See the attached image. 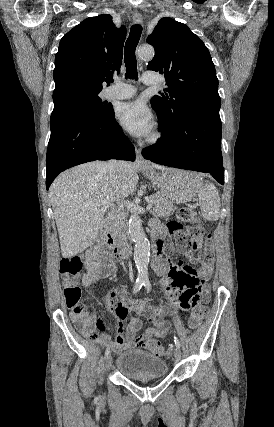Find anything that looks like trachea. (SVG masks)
I'll list each match as a JSON object with an SVG mask.
<instances>
[{
	"label": "trachea",
	"instance_id": "obj_1",
	"mask_svg": "<svg viewBox=\"0 0 274 427\" xmlns=\"http://www.w3.org/2000/svg\"><path fill=\"white\" fill-rule=\"evenodd\" d=\"M142 33L141 25H133L131 27L129 37L124 47V61L126 66L125 78L137 79V60L135 56V50L139 43V39Z\"/></svg>",
	"mask_w": 274,
	"mask_h": 427
}]
</instances>
